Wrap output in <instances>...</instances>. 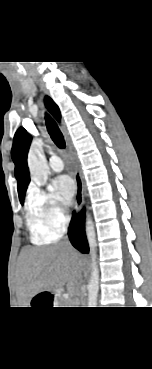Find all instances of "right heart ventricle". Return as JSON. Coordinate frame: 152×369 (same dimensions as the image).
I'll return each mask as SVG.
<instances>
[{"mask_svg": "<svg viewBox=\"0 0 152 369\" xmlns=\"http://www.w3.org/2000/svg\"><path fill=\"white\" fill-rule=\"evenodd\" d=\"M27 225L35 241L46 242L54 240L58 235L50 234L42 221L28 207Z\"/></svg>", "mask_w": 152, "mask_h": 369, "instance_id": "obj_1", "label": "right heart ventricle"}]
</instances>
